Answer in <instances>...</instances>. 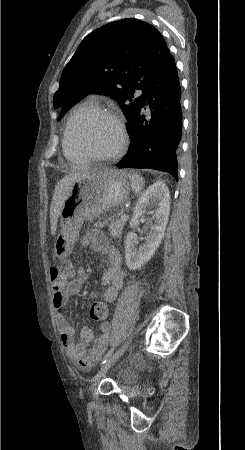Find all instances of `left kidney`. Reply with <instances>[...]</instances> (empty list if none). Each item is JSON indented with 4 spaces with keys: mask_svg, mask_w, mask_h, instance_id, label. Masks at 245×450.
<instances>
[{
    "mask_svg": "<svg viewBox=\"0 0 245 450\" xmlns=\"http://www.w3.org/2000/svg\"><path fill=\"white\" fill-rule=\"evenodd\" d=\"M149 208H154L155 224L146 237V242L138 246L137 235L130 232L125 240L126 265L130 270L139 269L148 262L159 247L169 218L170 195L167 186L158 181L151 185L138 199L134 208L130 227L139 225V219L144 214H150Z\"/></svg>",
    "mask_w": 245,
    "mask_h": 450,
    "instance_id": "left-kidney-1",
    "label": "left kidney"
}]
</instances>
